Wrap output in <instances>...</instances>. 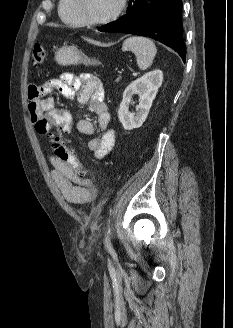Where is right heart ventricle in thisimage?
Masks as SVG:
<instances>
[{"label": "right heart ventricle", "mask_w": 233, "mask_h": 328, "mask_svg": "<svg viewBox=\"0 0 233 328\" xmlns=\"http://www.w3.org/2000/svg\"><path fill=\"white\" fill-rule=\"evenodd\" d=\"M75 0H60L59 1V16L61 21L69 27H82L83 23L80 21L75 10Z\"/></svg>", "instance_id": "right-heart-ventricle-1"}]
</instances>
